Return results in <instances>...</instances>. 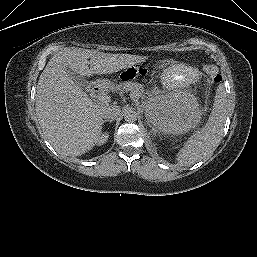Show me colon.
<instances>
[{
    "label": "colon",
    "instance_id": "colon-1",
    "mask_svg": "<svg viewBox=\"0 0 257 257\" xmlns=\"http://www.w3.org/2000/svg\"><path fill=\"white\" fill-rule=\"evenodd\" d=\"M204 70L212 82L219 83L222 81V77L214 65H206ZM147 72L148 68L145 65H135L124 70L121 73V79L124 81L134 80L145 76Z\"/></svg>",
    "mask_w": 257,
    "mask_h": 257
}]
</instances>
